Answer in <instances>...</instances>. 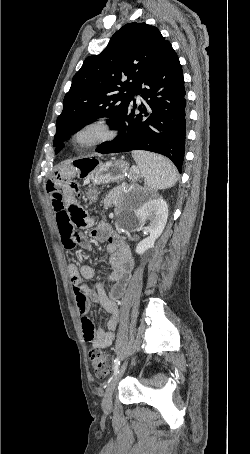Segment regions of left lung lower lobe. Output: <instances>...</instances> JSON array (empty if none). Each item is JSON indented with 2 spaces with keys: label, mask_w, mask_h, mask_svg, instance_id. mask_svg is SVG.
I'll list each match as a JSON object with an SVG mask.
<instances>
[{
  "label": "left lung lower lobe",
  "mask_w": 250,
  "mask_h": 454,
  "mask_svg": "<svg viewBox=\"0 0 250 454\" xmlns=\"http://www.w3.org/2000/svg\"><path fill=\"white\" fill-rule=\"evenodd\" d=\"M141 84L135 95H141L147 108L144 104L137 107L133 97L134 104L128 106L116 127L117 137L100 144L96 151L102 154L131 150L156 152L171 159L181 173L186 99L182 67L175 51ZM137 108L141 111L139 114L135 113Z\"/></svg>",
  "instance_id": "left-lung-lower-lobe-1"
}]
</instances>
